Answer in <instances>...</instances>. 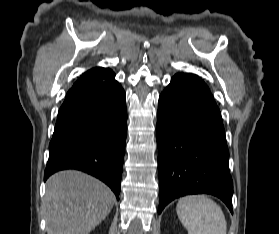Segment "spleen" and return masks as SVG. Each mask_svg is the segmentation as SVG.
<instances>
[{
  "label": "spleen",
  "instance_id": "1",
  "mask_svg": "<svg viewBox=\"0 0 279 234\" xmlns=\"http://www.w3.org/2000/svg\"><path fill=\"white\" fill-rule=\"evenodd\" d=\"M176 212L188 234H227L221 207L204 195L181 198Z\"/></svg>",
  "mask_w": 279,
  "mask_h": 234
}]
</instances>
